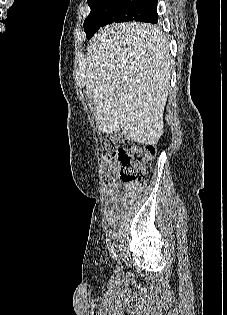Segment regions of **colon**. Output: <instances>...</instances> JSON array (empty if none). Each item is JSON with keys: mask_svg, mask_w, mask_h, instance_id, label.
Masks as SVG:
<instances>
[{"mask_svg": "<svg viewBox=\"0 0 227 315\" xmlns=\"http://www.w3.org/2000/svg\"><path fill=\"white\" fill-rule=\"evenodd\" d=\"M125 142L118 133H111L104 139L106 155L101 167V179L104 183H111L117 177L122 183L140 190L147 181L155 147L136 143L121 149L120 145Z\"/></svg>", "mask_w": 227, "mask_h": 315, "instance_id": "colon-1", "label": "colon"}]
</instances>
